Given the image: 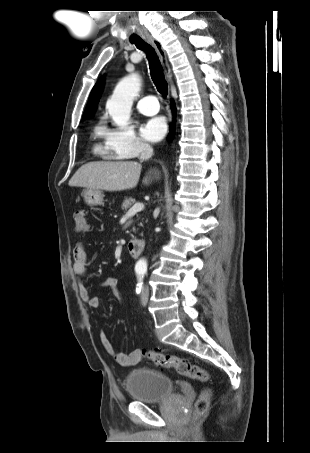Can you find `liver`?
<instances>
[{
	"mask_svg": "<svg viewBox=\"0 0 310 453\" xmlns=\"http://www.w3.org/2000/svg\"><path fill=\"white\" fill-rule=\"evenodd\" d=\"M142 165L135 161H97L82 165L69 181L71 187L123 191L138 184ZM149 178L143 179L148 184Z\"/></svg>",
	"mask_w": 310,
	"mask_h": 453,
	"instance_id": "1",
	"label": "liver"
}]
</instances>
